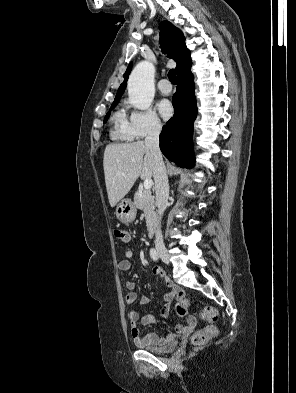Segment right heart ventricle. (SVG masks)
I'll return each mask as SVG.
<instances>
[{
	"instance_id": "right-heart-ventricle-1",
	"label": "right heart ventricle",
	"mask_w": 296,
	"mask_h": 393,
	"mask_svg": "<svg viewBox=\"0 0 296 393\" xmlns=\"http://www.w3.org/2000/svg\"><path fill=\"white\" fill-rule=\"evenodd\" d=\"M114 126L112 130V137L117 140L132 141L134 135L131 130L130 121L123 109L118 110L114 117Z\"/></svg>"
}]
</instances>
